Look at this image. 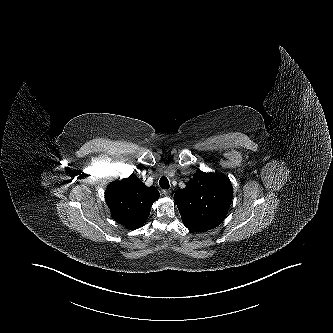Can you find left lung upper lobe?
<instances>
[{
	"label": "left lung upper lobe",
	"instance_id": "1",
	"mask_svg": "<svg viewBox=\"0 0 333 333\" xmlns=\"http://www.w3.org/2000/svg\"><path fill=\"white\" fill-rule=\"evenodd\" d=\"M232 184L225 175L198 170L184 189L175 192L184 225L195 232H204L220 225L232 201Z\"/></svg>",
	"mask_w": 333,
	"mask_h": 333
}]
</instances>
